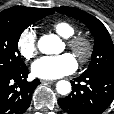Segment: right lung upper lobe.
Here are the masks:
<instances>
[{
	"instance_id": "right-lung-upper-lobe-1",
	"label": "right lung upper lobe",
	"mask_w": 114,
	"mask_h": 114,
	"mask_svg": "<svg viewBox=\"0 0 114 114\" xmlns=\"http://www.w3.org/2000/svg\"><path fill=\"white\" fill-rule=\"evenodd\" d=\"M54 11L49 8H33L24 6H15L0 12V19H17L24 17H39L53 14Z\"/></svg>"
}]
</instances>
